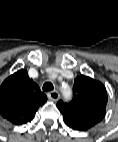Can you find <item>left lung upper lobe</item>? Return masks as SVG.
Segmentation results:
<instances>
[{
	"mask_svg": "<svg viewBox=\"0 0 118 142\" xmlns=\"http://www.w3.org/2000/svg\"><path fill=\"white\" fill-rule=\"evenodd\" d=\"M73 91V100L69 103L60 100L57 107L70 128L86 131L104 118L107 91L101 82L84 75L76 77Z\"/></svg>",
	"mask_w": 118,
	"mask_h": 142,
	"instance_id": "1",
	"label": "left lung upper lobe"
}]
</instances>
